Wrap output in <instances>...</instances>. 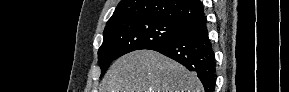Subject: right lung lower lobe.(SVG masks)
<instances>
[{
    "label": "right lung lower lobe",
    "instance_id": "right-lung-lower-lobe-1",
    "mask_svg": "<svg viewBox=\"0 0 289 92\" xmlns=\"http://www.w3.org/2000/svg\"><path fill=\"white\" fill-rule=\"evenodd\" d=\"M206 22L203 14L189 22L179 35L150 50L160 52L194 71L205 92H213L216 63Z\"/></svg>",
    "mask_w": 289,
    "mask_h": 92
}]
</instances>
